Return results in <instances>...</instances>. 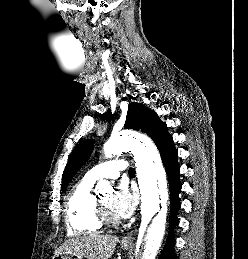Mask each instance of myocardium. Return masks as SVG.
<instances>
[{"instance_id":"obj_1","label":"myocardium","mask_w":248,"mask_h":259,"mask_svg":"<svg viewBox=\"0 0 248 259\" xmlns=\"http://www.w3.org/2000/svg\"><path fill=\"white\" fill-rule=\"evenodd\" d=\"M97 216L102 225L115 226L119 223L117 216H113L105 205L96 199Z\"/></svg>"}]
</instances>
